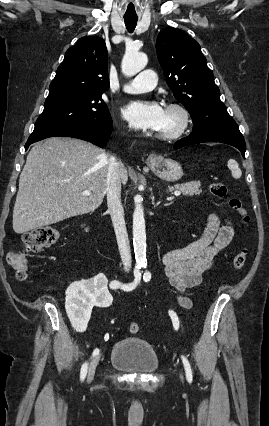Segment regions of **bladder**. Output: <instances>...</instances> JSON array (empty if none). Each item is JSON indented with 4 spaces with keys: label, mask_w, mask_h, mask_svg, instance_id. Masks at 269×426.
<instances>
[{
    "label": "bladder",
    "mask_w": 269,
    "mask_h": 426,
    "mask_svg": "<svg viewBox=\"0 0 269 426\" xmlns=\"http://www.w3.org/2000/svg\"><path fill=\"white\" fill-rule=\"evenodd\" d=\"M110 363L116 369L136 374H150L157 370L159 358L154 348L145 340L127 337L113 347Z\"/></svg>",
    "instance_id": "1"
}]
</instances>
